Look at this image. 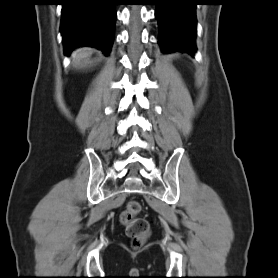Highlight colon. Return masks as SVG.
I'll return each mask as SVG.
<instances>
[{
	"mask_svg": "<svg viewBox=\"0 0 278 278\" xmlns=\"http://www.w3.org/2000/svg\"><path fill=\"white\" fill-rule=\"evenodd\" d=\"M141 205L136 200L127 203L121 214V222L127 234L134 240L135 245H140L149 235L150 227L146 219L138 217Z\"/></svg>",
	"mask_w": 278,
	"mask_h": 278,
	"instance_id": "5ec220e1",
	"label": "colon"
}]
</instances>
